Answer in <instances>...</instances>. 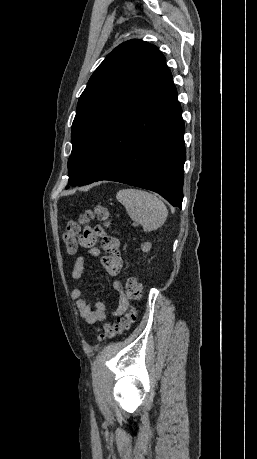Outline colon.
<instances>
[{
	"instance_id": "colon-1",
	"label": "colon",
	"mask_w": 257,
	"mask_h": 459,
	"mask_svg": "<svg viewBox=\"0 0 257 459\" xmlns=\"http://www.w3.org/2000/svg\"><path fill=\"white\" fill-rule=\"evenodd\" d=\"M94 217H97L99 220H101L105 226H109L111 223L110 212L108 208L102 203L97 204L93 209L86 210L85 212L81 213L75 220H71L67 223L63 240L70 254H73L77 251L80 240L78 236H73L71 234V229L73 227H79L81 231L82 229H86L87 225L85 226L84 224H88ZM124 290L127 298L130 300H139L142 297V284L138 279L134 277H129L126 279L124 283ZM136 314V309L130 308L123 316H119L114 324L106 325L100 329L98 331V338H112L128 330L131 324L135 321Z\"/></svg>"
}]
</instances>
